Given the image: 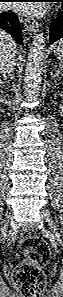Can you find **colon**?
Wrapping results in <instances>:
<instances>
[{
  "instance_id": "colon-1",
  "label": "colon",
  "mask_w": 63,
  "mask_h": 297,
  "mask_svg": "<svg viewBox=\"0 0 63 297\" xmlns=\"http://www.w3.org/2000/svg\"><path fill=\"white\" fill-rule=\"evenodd\" d=\"M20 252L25 262L17 271L14 284L24 295L40 297L45 289L42 268L50 259L49 248L41 238L26 236L20 242Z\"/></svg>"
}]
</instances>
